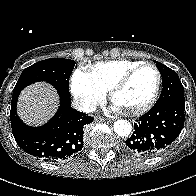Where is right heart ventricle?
Here are the masks:
<instances>
[{"instance_id": "e07e8e85", "label": "right heart ventricle", "mask_w": 196, "mask_h": 196, "mask_svg": "<svg viewBox=\"0 0 196 196\" xmlns=\"http://www.w3.org/2000/svg\"><path fill=\"white\" fill-rule=\"evenodd\" d=\"M141 63L126 59L99 62L91 67L90 74L105 91H109L122 75Z\"/></svg>"}]
</instances>
